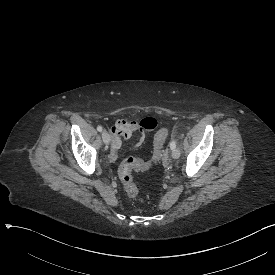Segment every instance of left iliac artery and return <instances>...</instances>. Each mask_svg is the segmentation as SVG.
<instances>
[{
  "label": "left iliac artery",
  "instance_id": "44dca946",
  "mask_svg": "<svg viewBox=\"0 0 275 275\" xmlns=\"http://www.w3.org/2000/svg\"><path fill=\"white\" fill-rule=\"evenodd\" d=\"M176 143H177V141L175 139L170 142V148H171V150H173V149L176 148Z\"/></svg>",
  "mask_w": 275,
  "mask_h": 275
}]
</instances>
